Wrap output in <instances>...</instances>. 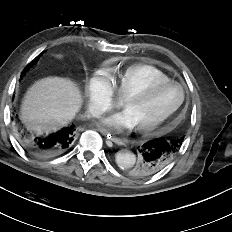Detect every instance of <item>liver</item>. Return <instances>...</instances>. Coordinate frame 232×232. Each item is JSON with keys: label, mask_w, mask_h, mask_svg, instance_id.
<instances>
[{"label": "liver", "mask_w": 232, "mask_h": 232, "mask_svg": "<svg viewBox=\"0 0 232 232\" xmlns=\"http://www.w3.org/2000/svg\"><path fill=\"white\" fill-rule=\"evenodd\" d=\"M79 89L70 80L48 77L27 91L21 106V120L37 134L57 131L81 108Z\"/></svg>", "instance_id": "obj_1"}]
</instances>
